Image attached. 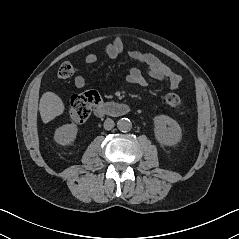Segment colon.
Segmentation results:
<instances>
[{
  "instance_id": "obj_1",
  "label": "colon",
  "mask_w": 239,
  "mask_h": 239,
  "mask_svg": "<svg viewBox=\"0 0 239 239\" xmlns=\"http://www.w3.org/2000/svg\"><path fill=\"white\" fill-rule=\"evenodd\" d=\"M58 77L61 79L70 78L74 74L73 66L65 62L58 69ZM166 103L174 108L181 109L182 102L179 96L170 93L165 98ZM101 102L100 95L95 91H87L80 94H76L70 101V118L74 123H84L90 116L92 110L98 106Z\"/></svg>"
}]
</instances>
